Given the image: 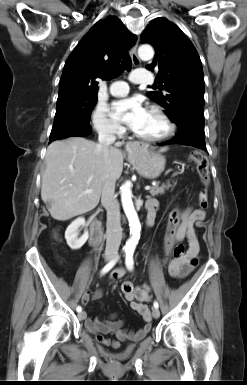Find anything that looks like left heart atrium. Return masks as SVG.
<instances>
[{
  "mask_svg": "<svg viewBox=\"0 0 247 385\" xmlns=\"http://www.w3.org/2000/svg\"><path fill=\"white\" fill-rule=\"evenodd\" d=\"M147 110L137 98L117 101L112 105V115L119 121L126 122L132 129L137 128L143 121Z\"/></svg>",
  "mask_w": 247,
  "mask_h": 385,
  "instance_id": "1",
  "label": "left heart atrium"
}]
</instances>
